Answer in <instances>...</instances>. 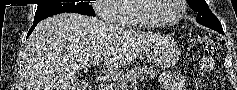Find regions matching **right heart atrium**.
Listing matches in <instances>:
<instances>
[{
    "label": "right heart atrium",
    "instance_id": "d8ad5b80",
    "mask_svg": "<svg viewBox=\"0 0 237 90\" xmlns=\"http://www.w3.org/2000/svg\"><path fill=\"white\" fill-rule=\"evenodd\" d=\"M121 3H123V0H95L90 6V10L99 12L102 20H117V16L112 13L113 6H120Z\"/></svg>",
    "mask_w": 237,
    "mask_h": 90
}]
</instances>
